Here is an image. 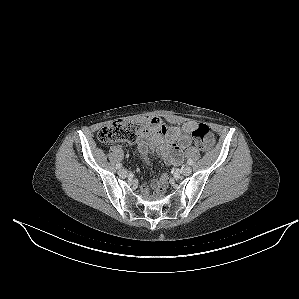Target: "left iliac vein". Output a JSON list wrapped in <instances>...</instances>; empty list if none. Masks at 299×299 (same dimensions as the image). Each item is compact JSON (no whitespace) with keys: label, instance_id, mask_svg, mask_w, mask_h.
I'll return each instance as SVG.
<instances>
[{"label":"left iliac vein","instance_id":"obj_1","mask_svg":"<svg viewBox=\"0 0 299 299\" xmlns=\"http://www.w3.org/2000/svg\"><path fill=\"white\" fill-rule=\"evenodd\" d=\"M191 172H192V168L188 165L183 167L182 170H181V173L185 176L191 174Z\"/></svg>","mask_w":299,"mask_h":299}]
</instances>
